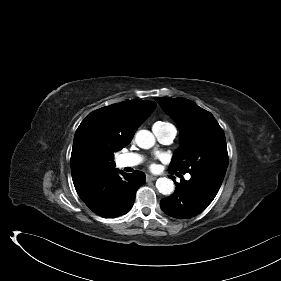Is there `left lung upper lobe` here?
Segmentation results:
<instances>
[{"instance_id": "1", "label": "left lung upper lobe", "mask_w": 281, "mask_h": 281, "mask_svg": "<svg viewBox=\"0 0 281 281\" xmlns=\"http://www.w3.org/2000/svg\"><path fill=\"white\" fill-rule=\"evenodd\" d=\"M155 100L178 123L181 131V144L172 158L169 171L225 175L228 166L226 140L214 116L185 98Z\"/></svg>"}]
</instances>
